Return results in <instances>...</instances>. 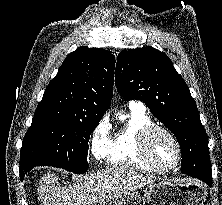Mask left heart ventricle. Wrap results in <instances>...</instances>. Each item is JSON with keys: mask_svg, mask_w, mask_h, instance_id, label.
Segmentation results:
<instances>
[{"mask_svg": "<svg viewBox=\"0 0 222 205\" xmlns=\"http://www.w3.org/2000/svg\"><path fill=\"white\" fill-rule=\"evenodd\" d=\"M149 149L154 160L163 167H171L177 158L174 143L163 133L156 132L151 135Z\"/></svg>", "mask_w": 222, "mask_h": 205, "instance_id": "obj_1", "label": "left heart ventricle"}]
</instances>
